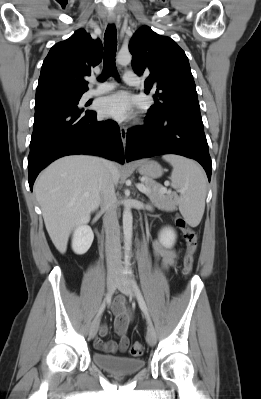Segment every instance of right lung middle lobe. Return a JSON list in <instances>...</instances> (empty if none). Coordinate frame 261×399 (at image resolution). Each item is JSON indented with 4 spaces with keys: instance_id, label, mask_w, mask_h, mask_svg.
Instances as JSON below:
<instances>
[{
    "instance_id": "1",
    "label": "right lung middle lobe",
    "mask_w": 261,
    "mask_h": 399,
    "mask_svg": "<svg viewBox=\"0 0 261 399\" xmlns=\"http://www.w3.org/2000/svg\"><path fill=\"white\" fill-rule=\"evenodd\" d=\"M82 95L64 96L58 98H51L41 101H36L35 111L47 109L55 106H63L77 109V105Z\"/></svg>"
}]
</instances>
